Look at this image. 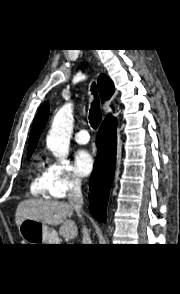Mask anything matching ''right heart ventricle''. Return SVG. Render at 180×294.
<instances>
[{
	"label": "right heart ventricle",
	"mask_w": 180,
	"mask_h": 294,
	"mask_svg": "<svg viewBox=\"0 0 180 294\" xmlns=\"http://www.w3.org/2000/svg\"><path fill=\"white\" fill-rule=\"evenodd\" d=\"M30 194L44 197L48 194L47 167L40 157H37L33 166L29 185Z\"/></svg>",
	"instance_id": "e07e8e85"
}]
</instances>
